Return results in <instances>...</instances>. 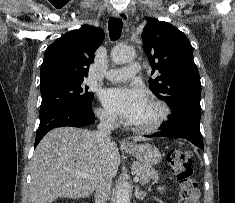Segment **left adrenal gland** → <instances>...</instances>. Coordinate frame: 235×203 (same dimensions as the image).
Returning <instances> with one entry per match:
<instances>
[{
    "instance_id": "a2214340",
    "label": "left adrenal gland",
    "mask_w": 235,
    "mask_h": 203,
    "mask_svg": "<svg viewBox=\"0 0 235 203\" xmlns=\"http://www.w3.org/2000/svg\"><path fill=\"white\" fill-rule=\"evenodd\" d=\"M146 193L142 190H139V187H135V197L139 200H143L145 197Z\"/></svg>"
}]
</instances>
